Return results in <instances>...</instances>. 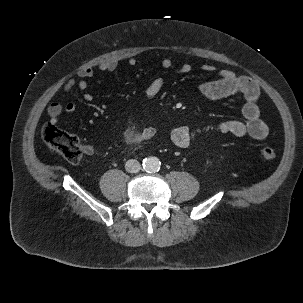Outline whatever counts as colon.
Returning <instances> with one entry per match:
<instances>
[{"mask_svg": "<svg viewBox=\"0 0 303 303\" xmlns=\"http://www.w3.org/2000/svg\"><path fill=\"white\" fill-rule=\"evenodd\" d=\"M44 142L53 150L64 156L69 162L78 164L83 159V149L79 138L68 131L58 128L55 124L47 123L41 131ZM259 156L266 161L276 157V152L271 147H262Z\"/></svg>", "mask_w": 303, "mask_h": 303, "instance_id": "1", "label": "colon"}]
</instances>
